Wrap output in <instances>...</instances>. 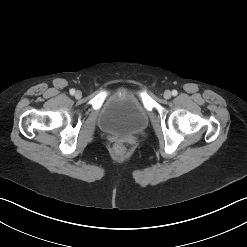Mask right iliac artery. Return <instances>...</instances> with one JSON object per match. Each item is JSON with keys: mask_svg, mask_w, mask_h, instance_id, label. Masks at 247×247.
<instances>
[{"mask_svg": "<svg viewBox=\"0 0 247 247\" xmlns=\"http://www.w3.org/2000/svg\"><path fill=\"white\" fill-rule=\"evenodd\" d=\"M69 92H70L71 95H74L75 94V89H70Z\"/></svg>", "mask_w": 247, "mask_h": 247, "instance_id": "82829eb1", "label": "right iliac artery"}]
</instances>
